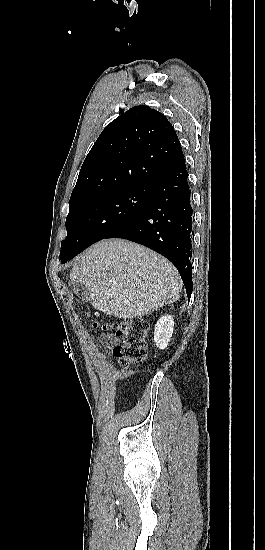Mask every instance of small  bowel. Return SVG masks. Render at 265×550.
<instances>
[{
    "mask_svg": "<svg viewBox=\"0 0 265 550\" xmlns=\"http://www.w3.org/2000/svg\"><path fill=\"white\" fill-rule=\"evenodd\" d=\"M117 342L116 339H114L112 336H108V335H103L100 337V343L103 345V346H109V345H113Z\"/></svg>",
    "mask_w": 265,
    "mask_h": 550,
    "instance_id": "small-bowel-1",
    "label": "small bowel"
}]
</instances>
